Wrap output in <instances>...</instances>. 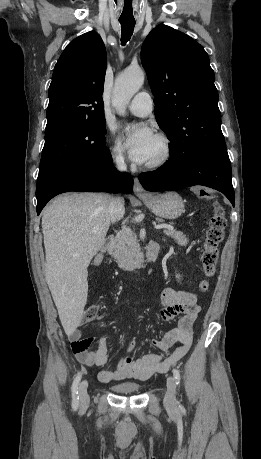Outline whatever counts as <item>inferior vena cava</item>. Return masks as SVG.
Masks as SVG:
<instances>
[{"mask_svg": "<svg viewBox=\"0 0 261 459\" xmlns=\"http://www.w3.org/2000/svg\"><path fill=\"white\" fill-rule=\"evenodd\" d=\"M116 164H117V168L120 171L126 170V164L122 156H119L116 158ZM124 213H125V209H124L123 198H120V197L112 198L110 205H109V214H110L111 221L115 222L117 220H120L121 218H123Z\"/></svg>", "mask_w": 261, "mask_h": 459, "instance_id": "1", "label": "inferior vena cava"}]
</instances>
